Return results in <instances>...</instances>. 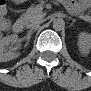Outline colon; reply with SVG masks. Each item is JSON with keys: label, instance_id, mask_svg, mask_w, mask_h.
<instances>
[{"label": "colon", "instance_id": "5ec220e1", "mask_svg": "<svg viewBox=\"0 0 91 91\" xmlns=\"http://www.w3.org/2000/svg\"><path fill=\"white\" fill-rule=\"evenodd\" d=\"M4 9H5L4 6H1V7H0V16H3V18H4V23H3V28H4V30H7V29L9 28V23H8L6 17H5L6 11H5V14H3V10H4ZM5 10H6V9H5Z\"/></svg>", "mask_w": 91, "mask_h": 91}]
</instances>
